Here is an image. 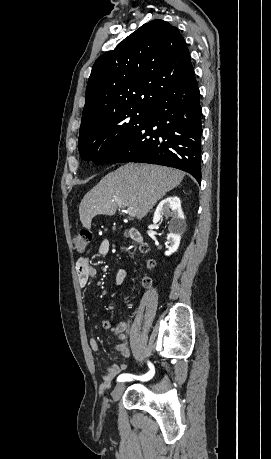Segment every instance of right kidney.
<instances>
[{
    "instance_id": "1",
    "label": "right kidney",
    "mask_w": 271,
    "mask_h": 459,
    "mask_svg": "<svg viewBox=\"0 0 271 459\" xmlns=\"http://www.w3.org/2000/svg\"><path fill=\"white\" fill-rule=\"evenodd\" d=\"M162 216H172L169 222V233H167V243H170L165 255H171L177 251L181 239V233L186 229V222L181 208L180 198L177 196H169L158 204L153 218V224H158Z\"/></svg>"
}]
</instances>
